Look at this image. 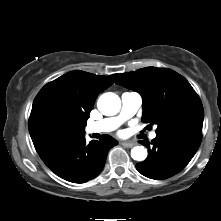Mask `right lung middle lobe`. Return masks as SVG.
<instances>
[{
  "instance_id": "obj_1",
  "label": "right lung middle lobe",
  "mask_w": 221,
  "mask_h": 221,
  "mask_svg": "<svg viewBox=\"0 0 221 221\" xmlns=\"http://www.w3.org/2000/svg\"><path fill=\"white\" fill-rule=\"evenodd\" d=\"M47 127L49 133L55 138L84 133L83 127L75 126L64 116L52 117L48 121Z\"/></svg>"
}]
</instances>
